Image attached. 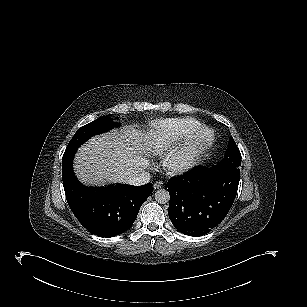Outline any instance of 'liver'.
<instances>
[{
    "label": "liver",
    "instance_id": "1",
    "mask_svg": "<svg viewBox=\"0 0 307 307\" xmlns=\"http://www.w3.org/2000/svg\"><path fill=\"white\" fill-rule=\"evenodd\" d=\"M144 150L131 131L93 137L75 155V175L85 185L128 183L131 175L146 167Z\"/></svg>",
    "mask_w": 307,
    "mask_h": 307
}]
</instances>
